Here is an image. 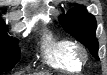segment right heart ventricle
Listing matches in <instances>:
<instances>
[{"mask_svg":"<svg viewBox=\"0 0 107 75\" xmlns=\"http://www.w3.org/2000/svg\"><path fill=\"white\" fill-rule=\"evenodd\" d=\"M41 53L44 63L50 67L66 71L81 69V62L76 56V45L68 38L46 35L42 41Z\"/></svg>","mask_w":107,"mask_h":75,"instance_id":"e07e8e85","label":"right heart ventricle"}]
</instances>
